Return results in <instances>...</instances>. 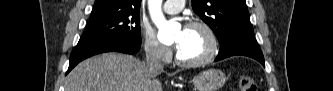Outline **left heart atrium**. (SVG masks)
Wrapping results in <instances>:
<instances>
[{
  "instance_id": "obj_1",
  "label": "left heart atrium",
  "mask_w": 333,
  "mask_h": 91,
  "mask_svg": "<svg viewBox=\"0 0 333 91\" xmlns=\"http://www.w3.org/2000/svg\"><path fill=\"white\" fill-rule=\"evenodd\" d=\"M184 33H185V29H183L181 31L180 36L176 40L175 47H176L177 50H179L181 48V46H182Z\"/></svg>"
}]
</instances>
